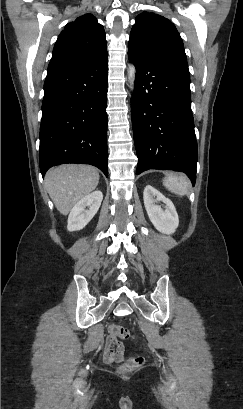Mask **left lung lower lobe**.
I'll use <instances>...</instances> for the list:
<instances>
[{
    "mask_svg": "<svg viewBox=\"0 0 243 409\" xmlns=\"http://www.w3.org/2000/svg\"><path fill=\"white\" fill-rule=\"evenodd\" d=\"M129 60L137 71L131 99L136 173L182 171L194 185L197 142L186 57L172 54L139 61L129 56Z\"/></svg>",
    "mask_w": 243,
    "mask_h": 409,
    "instance_id": "left-lung-lower-lobe-1",
    "label": "left lung lower lobe"
}]
</instances>
